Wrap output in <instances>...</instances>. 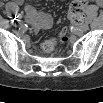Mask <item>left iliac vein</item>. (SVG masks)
<instances>
[{"mask_svg": "<svg viewBox=\"0 0 103 103\" xmlns=\"http://www.w3.org/2000/svg\"><path fill=\"white\" fill-rule=\"evenodd\" d=\"M79 29H80L81 31H87V30H88V24H82V25H80V26H79Z\"/></svg>", "mask_w": 103, "mask_h": 103, "instance_id": "1", "label": "left iliac vein"}]
</instances>
